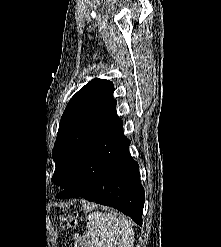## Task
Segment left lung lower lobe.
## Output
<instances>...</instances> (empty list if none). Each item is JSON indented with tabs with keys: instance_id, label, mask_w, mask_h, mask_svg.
I'll list each match as a JSON object with an SVG mask.
<instances>
[{
	"instance_id": "left-lung-lower-lobe-1",
	"label": "left lung lower lobe",
	"mask_w": 221,
	"mask_h": 247,
	"mask_svg": "<svg viewBox=\"0 0 221 247\" xmlns=\"http://www.w3.org/2000/svg\"><path fill=\"white\" fill-rule=\"evenodd\" d=\"M122 123L120 120L102 133L80 173L57 198L83 197L116 208L141 226L145 194Z\"/></svg>"
}]
</instances>
